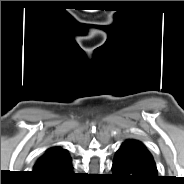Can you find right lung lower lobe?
I'll return each instance as SVG.
<instances>
[{"mask_svg": "<svg viewBox=\"0 0 184 184\" xmlns=\"http://www.w3.org/2000/svg\"><path fill=\"white\" fill-rule=\"evenodd\" d=\"M35 174L40 178L41 183L48 184H67L74 176L70 157L56 164L47 171Z\"/></svg>", "mask_w": 184, "mask_h": 184, "instance_id": "98d812e1", "label": "right lung lower lobe"}]
</instances>
